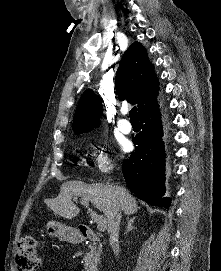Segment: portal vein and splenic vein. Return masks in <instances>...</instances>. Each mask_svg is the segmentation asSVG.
Listing matches in <instances>:
<instances>
[{
  "instance_id": "1",
  "label": "portal vein and splenic vein",
  "mask_w": 221,
  "mask_h": 271,
  "mask_svg": "<svg viewBox=\"0 0 221 271\" xmlns=\"http://www.w3.org/2000/svg\"><path fill=\"white\" fill-rule=\"evenodd\" d=\"M99 231H105L107 219L106 217H96L95 219Z\"/></svg>"
}]
</instances>
